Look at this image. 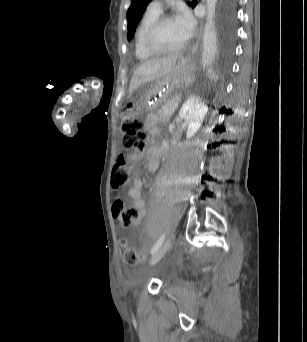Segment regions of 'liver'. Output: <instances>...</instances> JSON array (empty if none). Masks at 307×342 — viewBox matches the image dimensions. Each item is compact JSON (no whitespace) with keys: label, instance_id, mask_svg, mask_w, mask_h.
<instances>
[{"label":"liver","instance_id":"6515ba94","mask_svg":"<svg viewBox=\"0 0 307 342\" xmlns=\"http://www.w3.org/2000/svg\"><path fill=\"white\" fill-rule=\"evenodd\" d=\"M178 56L179 54H174V56H169V58L146 60L144 64H140L132 74L128 88L129 96H132L141 84H145V82H154V80H159V78H163L165 74H168L172 66H174Z\"/></svg>","mask_w":307,"mask_h":342}]
</instances>
